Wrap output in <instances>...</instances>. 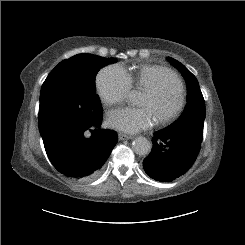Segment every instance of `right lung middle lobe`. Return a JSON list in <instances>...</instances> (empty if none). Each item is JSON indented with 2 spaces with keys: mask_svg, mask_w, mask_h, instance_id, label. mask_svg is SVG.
Listing matches in <instances>:
<instances>
[{
  "mask_svg": "<svg viewBox=\"0 0 245 245\" xmlns=\"http://www.w3.org/2000/svg\"><path fill=\"white\" fill-rule=\"evenodd\" d=\"M90 54H78L60 62L41 87L39 130L42 139L63 128L88 126L101 118L94 95L96 73L113 62Z\"/></svg>",
  "mask_w": 245,
  "mask_h": 245,
  "instance_id": "obj_1",
  "label": "right lung middle lobe"
}]
</instances>
